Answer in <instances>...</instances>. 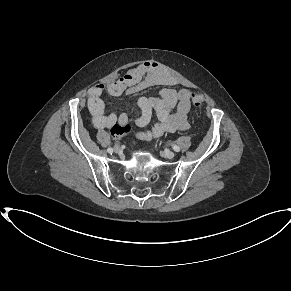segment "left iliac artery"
Returning a JSON list of instances; mask_svg holds the SVG:
<instances>
[{"label": "left iliac artery", "instance_id": "44dca946", "mask_svg": "<svg viewBox=\"0 0 291 291\" xmlns=\"http://www.w3.org/2000/svg\"><path fill=\"white\" fill-rule=\"evenodd\" d=\"M172 148H173V150H174L175 152H179V151H180V147L177 146V145H173Z\"/></svg>", "mask_w": 291, "mask_h": 291}]
</instances>
